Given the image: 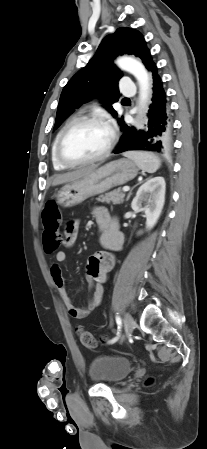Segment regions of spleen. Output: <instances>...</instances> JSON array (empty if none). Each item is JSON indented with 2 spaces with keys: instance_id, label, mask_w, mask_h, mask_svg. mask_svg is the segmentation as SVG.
<instances>
[{
  "instance_id": "3e777b00",
  "label": "spleen",
  "mask_w": 207,
  "mask_h": 449,
  "mask_svg": "<svg viewBox=\"0 0 207 449\" xmlns=\"http://www.w3.org/2000/svg\"><path fill=\"white\" fill-rule=\"evenodd\" d=\"M124 156L134 161L144 172L154 173L161 166L160 159L151 152L128 151L124 153Z\"/></svg>"
}]
</instances>
